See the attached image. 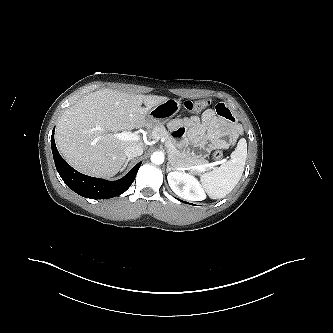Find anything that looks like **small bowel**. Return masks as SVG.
Here are the masks:
<instances>
[{
  "instance_id": "obj_1",
  "label": "small bowel",
  "mask_w": 333,
  "mask_h": 333,
  "mask_svg": "<svg viewBox=\"0 0 333 333\" xmlns=\"http://www.w3.org/2000/svg\"><path fill=\"white\" fill-rule=\"evenodd\" d=\"M169 127L173 135L198 156H206L214 149L233 146L241 133V127L224 103L205 110L200 117L172 120Z\"/></svg>"
}]
</instances>
